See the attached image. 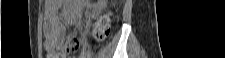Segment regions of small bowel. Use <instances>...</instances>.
Masks as SVG:
<instances>
[{"label": "small bowel", "mask_w": 225, "mask_h": 58, "mask_svg": "<svg viewBox=\"0 0 225 58\" xmlns=\"http://www.w3.org/2000/svg\"><path fill=\"white\" fill-rule=\"evenodd\" d=\"M70 3L69 1H46L44 9V47L49 53H55L63 46L66 26L58 13Z\"/></svg>", "instance_id": "small-bowel-1"}]
</instances>
